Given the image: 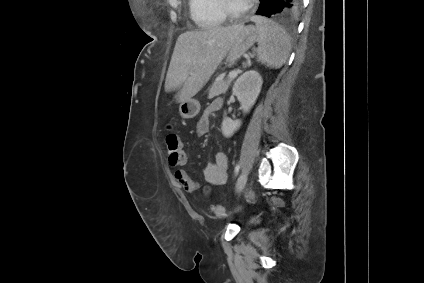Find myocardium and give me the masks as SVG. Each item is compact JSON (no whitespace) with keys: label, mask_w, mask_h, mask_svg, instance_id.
<instances>
[{"label":"myocardium","mask_w":424,"mask_h":283,"mask_svg":"<svg viewBox=\"0 0 424 283\" xmlns=\"http://www.w3.org/2000/svg\"><path fill=\"white\" fill-rule=\"evenodd\" d=\"M219 7L223 15L226 19L230 20H240L246 17V15L251 11L253 7V1H250L246 4V6L240 10L235 11L233 10L227 3V0H218Z\"/></svg>","instance_id":"myocardium-1"}]
</instances>
